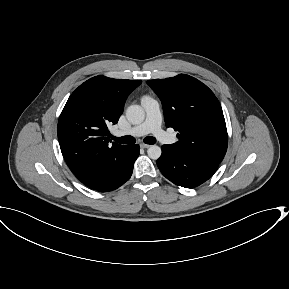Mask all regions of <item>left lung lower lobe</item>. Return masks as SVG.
I'll return each mask as SVG.
<instances>
[{
    "label": "left lung lower lobe",
    "mask_w": 289,
    "mask_h": 289,
    "mask_svg": "<svg viewBox=\"0 0 289 289\" xmlns=\"http://www.w3.org/2000/svg\"><path fill=\"white\" fill-rule=\"evenodd\" d=\"M220 163L198 156H190L162 146V155L157 166L162 174L176 185L194 188L207 181Z\"/></svg>",
    "instance_id": "obj_1"
}]
</instances>
